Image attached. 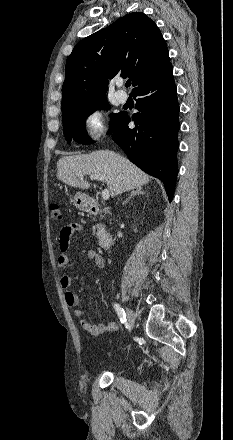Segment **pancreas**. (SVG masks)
I'll return each instance as SVG.
<instances>
[{
  "label": "pancreas",
  "mask_w": 233,
  "mask_h": 440,
  "mask_svg": "<svg viewBox=\"0 0 233 440\" xmlns=\"http://www.w3.org/2000/svg\"><path fill=\"white\" fill-rule=\"evenodd\" d=\"M98 228H99V226H98ZM94 233H95V227H94Z\"/></svg>",
  "instance_id": "pancreas-1"
}]
</instances>
